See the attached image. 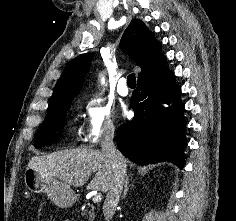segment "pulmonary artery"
<instances>
[{
    "mask_svg": "<svg viewBox=\"0 0 236 221\" xmlns=\"http://www.w3.org/2000/svg\"><path fill=\"white\" fill-rule=\"evenodd\" d=\"M127 78L122 77L117 86V92L121 96H127L129 94V88L126 86Z\"/></svg>",
    "mask_w": 236,
    "mask_h": 221,
    "instance_id": "pulmonary-artery-1",
    "label": "pulmonary artery"
}]
</instances>
